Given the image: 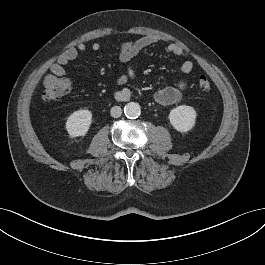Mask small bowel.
<instances>
[{"instance_id":"small-bowel-1","label":"small bowel","mask_w":265,"mask_h":265,"mask_svg":"<svg viewBox=\"0 0 265 265\" xmlns=\"http://www.w3.org/2000/svg\"><path fill=\"white\" fill-rule=\"evenodd\" d=\"M159 42V38L153 35H148L141 37L136 40H128L121 44L119 48V59L122 62H129L135 56H137L145 48L156 44ZM101 43L99 41H94L91 45L93 51H99L101 49ZM87 46L85 43L80 42L74 47L66 49L51 66V72L57 76H64L66 74L65 67L67 64L77 58L79 53L85 52ZM166 52L175 56L186 57L188 55L187 51L180 45L176 43H170L165 48ZM193 62L191 60H185L179 70L182 74H189L193 70ZM135 77V71L132 67H128L125 74L121 75L117 79L119 85L127 83L129 80ZM188 87V80L181 79L174 86H167L157 90L154 94V99L157 103L161 105H173L181 101L185 90ZM129 91L124 89L120 92V97L128 96Z\"/></svg>"}]
</instances>
